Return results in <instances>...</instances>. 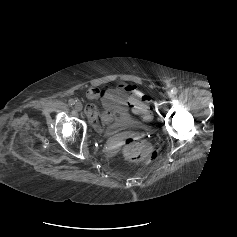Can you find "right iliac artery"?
I'll use <instances>...</instances> for the list:
<instances>
[{"label": "right iliac artery", "instance_id": "right-iliac-artery-1", "mask_svg": "<svg viewBox=\"0 0 237 237\" xmlns=\"http://www.w3.org/2000/svg\"><path fill=\"white\" fill-rule=\"evenodd\" d=\"M75 102H76V101H75L74 99H69V104H70V105H74Z\"/></svg>", "mask_w": 237, "mask_h": 237}]
</instances>
